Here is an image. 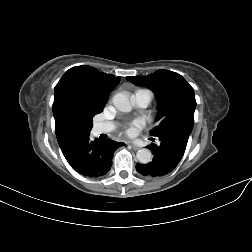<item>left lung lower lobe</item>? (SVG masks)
Masks as SVG:
<instances>
[{"instance_id":"left-lung-lower-lobe-1","label":"left lung lower lobe","mask_w":252,"mask_h":252,"mask_svg":"<svg viewBox=\"0 0 252 252\" xmlns=\"http://www.w3.org/2000/svg\"><path fill=\"white\" fill-rule=\"evenodd\" d=\"M189 136L177 131L159 136L160 145L147 146L153 154L152 162L136 164V170L147 177H161L172 172L184 155Z\"/></svg>"}]
</instances>
